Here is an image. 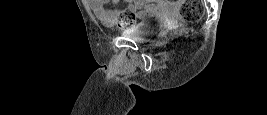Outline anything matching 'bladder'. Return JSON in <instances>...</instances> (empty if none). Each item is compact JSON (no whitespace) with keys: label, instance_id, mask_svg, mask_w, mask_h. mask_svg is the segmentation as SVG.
<instances>
[{"label":"bladder","instance_id":"1","mask_svg":"<svg viewBox=\"0 0 267 115\" xmlns=\"http://www.w3.org/2000/svg\"><path fill=\"white\" fill-rule=\"evenodd\" d=\"M147 17L156 18L157 16L155 14H148ZM122 34L125 37L131 38V39L145 40V39L152 37V35L154 34V31L150 27H147L143 24H138V25H134L132 27L123 29Z\"/></svg>","mask_w":267,"mask_h":115}]
</instances>
